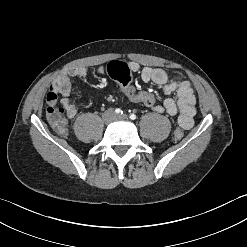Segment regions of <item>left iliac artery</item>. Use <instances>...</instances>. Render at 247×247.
Here are the masks:
<instances>
[{
  "mask_svg": "<svg viewBox=\"0 0 247 247\" xmlns=\"http://www.w3.org/2000/svg\"><path fill=\"white\" fill-rule=\"evenodd\" d=\"M129 118H130L131 120H135L137 117H136L135 114H130Z\"/></svg>",
  "mask_w": 247,
  "mask_h": 247,
  "instance_id": "obj_1",
  "label": "left iliac artery"
}]
</instances>
